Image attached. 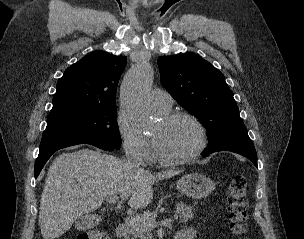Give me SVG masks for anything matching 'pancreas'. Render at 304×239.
<instances>
[{"label":"pancreas","mask_w":304,"mask_h":239,"mask_svg":"<svg viewBox=\"0 0 304 239\" xmlns=\"http://www.w3.org/2000/svg\"><path fill=\"white\" fill-rule=\"evenodd\" d=\"M157 212L146 211L142 215L134 217L135 220L131 219L127 222L128 234L131 236V239H152L151 229L148 226L149 221L155 220ZM194 216V209L192 206H187L182 202L177 204V210L175 218H179L180 222H187L189 219H192ZM129 239V237H128Z\"/></svg>","instance_id":"obj_1"}]
</instances>
